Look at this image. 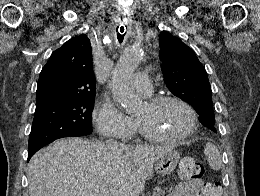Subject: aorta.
Masks as SVG:
<instances>
[{"instance_id": "762f6f07", "label": "aorta", "mask_w": 260, "mask_h": 196, "mask_svg": "<svg viewBox=\"0 0 260 196\" xmlns=\"http://www.w3.org/2000/svg\"><path fill=\"white\" fill-rule=\"evenodd\" d=\"M143 55L144 52L140 48L126 49L114 67L109 83L114 100L129 113L135 111L139 102L137 95L131 89L130 81Z\"/></svg>"}]
</instances>
